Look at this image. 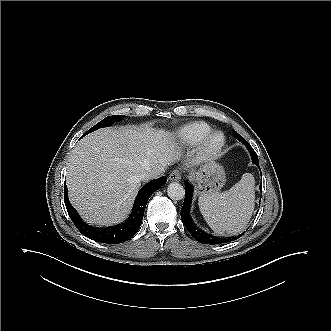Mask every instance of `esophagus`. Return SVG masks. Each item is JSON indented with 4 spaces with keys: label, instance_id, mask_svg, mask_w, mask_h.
<instances>
[{
    "label": "esophagus",
    "instance_id": "1",
    "mask_svg": "<svg viewBox=\"0 0 331 331\" xmlns=\"http://www.w3.org/2000/svg\"><path fill=\"white\" fill-rule=\"evenodd\" d=\"M170 181H180L181 180V174L178 170H174L169 175Z\"/></svg>",
    "mask_w": 331,
    "mask_h": 331
}]
</instances>
